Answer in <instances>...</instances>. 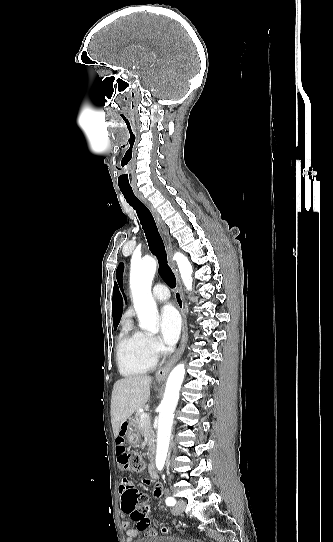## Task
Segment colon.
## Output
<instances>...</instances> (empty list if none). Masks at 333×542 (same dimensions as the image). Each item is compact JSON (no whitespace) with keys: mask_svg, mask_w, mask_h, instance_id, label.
Instances as JSON below:
<instances>
[{"mask_svg":"<svg viewBox=\"0 0 333 542\" xmlns=\"http://www.w3.org/2000/svg\"><path fill=\"white\" fill-rule=\"evenodd\" d=\"M127 460L129 463V469L132 472H143L145 461L142 455L137 452H132ZM142 496L143 493L141 489H124L121 496V503L125 514L129 516L134 523H136L138 530L151 535L155 531L149 517L153 504L151 501L146 500L141 506L139 500L142 499Z\"/></svg>","mask_w":333,"mask_h":542,"instance_id":"colon-1","label":"colon"}]
</instances>
